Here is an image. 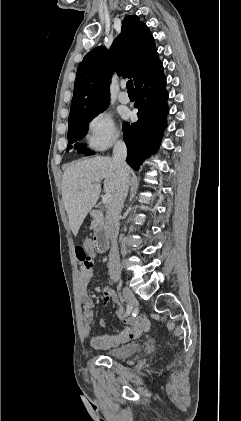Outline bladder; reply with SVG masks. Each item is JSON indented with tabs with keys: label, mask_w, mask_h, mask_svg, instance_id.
<instances>
[{
	"label": "bladder",
	"mask_w": 241,
	"mask_h": 421,
	"mask_svg": "<svg viewBox=\"0 0 241 421\" xmlns=\"http://www.w3.org/2000/svg\"><path fill=\"white\" fill-rule=\"evenodd\" d=\"M140 349L139 343H129L106 351L105 356L112 359H126L139 352Z\"/></svg>",
	"instance_id": "obj_1"
}]
</instances>
